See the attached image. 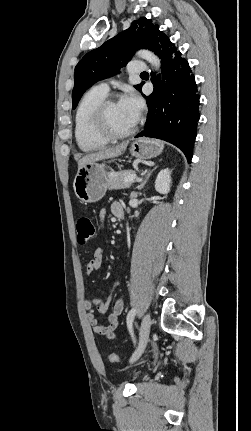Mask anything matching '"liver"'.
Here are the masks:
<instances>
[{
    "mask_svg": "<svg viewBox=\"0 0 251 431\" xmlns=\"http://www.w3.org/2000/svg\"><path fill=\"white\" fill-rule=\"evenodd\" d=\"M127 145L128 141L123 142L115 147L102 149L97 152L87 154L79 160L78 169L82 168L87 163L118 157L126 150Z\"/></svg>",
    "mask_w": 251,
    "mask_h": 431,
    "instance_id": "obj_1",
    "label": "liver"
}]
</instances>
